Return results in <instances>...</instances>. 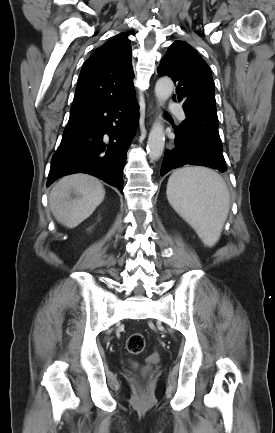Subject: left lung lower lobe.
Instances as JSON below:
<instances>
[{
    "label": "left lung lower lobe",
    "instance_id": "0a47b994",
    "mask_svg": "<svg viewBox=\"0 0 275 433\" xmlns=\"http://www.w3.org/2000/svg\"><path fill=\"white\" fill-rule=\"evenodd\" d=\"M174 147L172 150L165 152L163 159L161 176L165 175L172 169L184 165H200L217 169L225 172L227 168L217 165L210 154L201 146L193 136L179 133L176 129Z\"/></svg>",
    "mask_w": 275,
    "mask_h": 433
}]
</instances>
